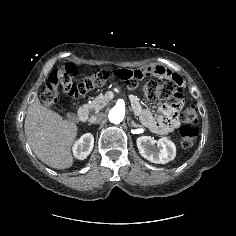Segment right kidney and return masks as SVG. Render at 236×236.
<instances>
[{
	"label": "right kidney",
	"mask_w": 236,
	"mask_h": 236,
	"mask_svg": "<svg viewBox=\"0 0 236 236\" xmlns=\"http://www.w3.org/2000/svg\"><path fill=\"white\" fill-rule=\"evenodd\" d=\"M94 146V137L86 133L78 139L73 146V154L79 160H84L91 153Z\"/></svg>",
	"instance_id": "obj_1"
}]
</instances>
